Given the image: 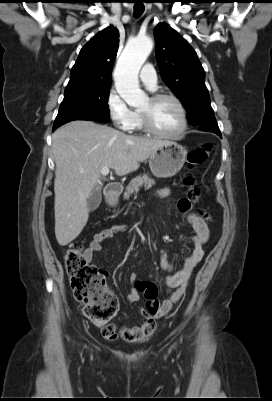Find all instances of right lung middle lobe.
<instances>
[{
    "mask_svg": "<svg viewBox=\"0 0 272 401\" xmlns=\"http://www.w3.org/2000/svg\"><path fill=\"white\" fill-rule=\"evenodd\" d=\"M111 85L65 92L53 127H59L73 120H109L108 97Z\"/></svg>",
    "mask_w": 272,
    "mask_h": 401,
    "instance_id": "1",
    "label": "right lung middle lobe"
}]
</instances>
